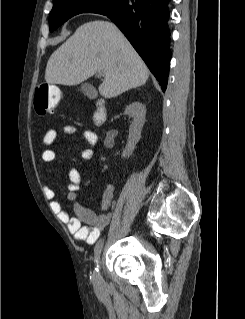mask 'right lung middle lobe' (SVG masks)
Returning a JSON list of instances; mask_svg holds the SVG:
<instances>
[{"instance_id": "1", "label": "right lung middle lobe", "mask_w": 245, "mask_h": 319, "mask_svg": "<svg viewBox=\"0 0 245 319\" xmlns=\"http://www.w3.org/2000/svg\"><path fill=\"white\" fill-rule=\"evenodd\" d=\"M123 0H54L50 13V31L53 32L61 24L74 15L92 12L106 15L116 9Z\"/></svg>"}]
</instances>
